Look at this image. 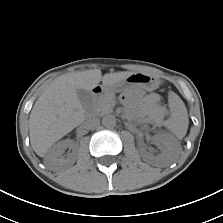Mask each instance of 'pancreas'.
<instances>
[{"label": "pancreas", "mask_w": 223, "mask_h": 223, "mask_svg": "<svg viewBox=\"0 0 223 223\" xmlns=\"http://www.w3.org/2000/svg\"><path fill=\"white\" fill-rule=\"evenodd\" d=\"M115 95L110 93L95 99L90 105L89 110L95 114H105L113 111L115 105Z\"/></svg>", "instance_id": "1"}]
</instances>
